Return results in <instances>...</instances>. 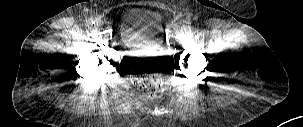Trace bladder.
<instances>
[{"instance_id": "obj_1", "label": "bladder", "mask_w": 303, "mask_h": 127, "mask_svg": "<svg viewBox=\"0 0 303 127\" xmlns=\"http://www.w3.org/2000/svg\"><path fill=\"white\" fill-rule=\"evenodd\" d=\"M119 36L128 46L163 44L162 19L159 13L143 7L127 10L119 24Z\"/></svg>"}]
</instances>
